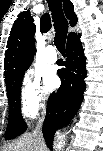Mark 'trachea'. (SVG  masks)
Instances as JSON below:
<instances>
[{
	"label": "trachea",
	"mask_w": 103,
	"mask_h": 151,
	"mask_svg": "<svg viewBox=\"0 0 103 151\" xmlns=\"http://www.w3.org/2000/svg\"><path fill=\"white\" fill-rule=\"evenodd\" d=\"M56 31L54 44L58 51L65 53V42L67 37L68 22L64 16L61 0H47Z\"/></svg>",
	"instance_id": "trachea-1"
}]
</instances>
